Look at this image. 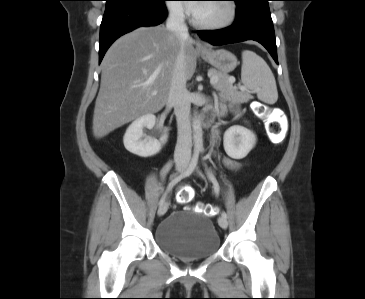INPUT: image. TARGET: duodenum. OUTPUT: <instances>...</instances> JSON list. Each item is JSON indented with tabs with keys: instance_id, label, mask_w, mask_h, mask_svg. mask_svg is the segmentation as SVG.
<instances>
[{
	"instance_id": "obj_1",
	"label": "duodenum",
	"mask_w": 365,
	"mask_h": 299,
	"mask_svg": "<svg viewBox=\"0 0 365 299\" xmlns=\"http://www.w3.org/2000/svg\"><path fill=\"white\" fill-rule=\"evenodd\" d=\"M211 113L210 112H205V113H203L202 114V116H201V119H202V123L204 124V125H207V124H209L210 123V121H211Z\"/></svg>"
}]
</instances>
